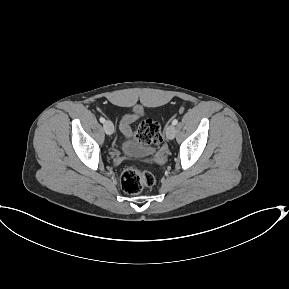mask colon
<instances>
[{
	"instance_id": "colon-1",
	"label": "colon",
	"mask_w": 289,
	"mask_h": 289,
	"mask_svg": "<svg viewBox=\"0 0 289 289\" xmlns=\"http://www.w3.org/2000/svg\"><path fill=\"white\" fill-rule=\"evenodd\" d=\"M135 137L144 145H159L163 140L159 123L152 119L144 120L139 124ZM154 182V176L150 172L135 166L125 168L121 175V187L124 192L131 195L152 187Z\"/></svg>"
}]
</instances>
